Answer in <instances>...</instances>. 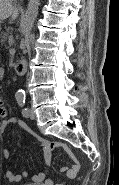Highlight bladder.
Returning <instances> with one entry per match:
<instances>
[{
    "label": "bladder",
    "mask_w": 119,
    "mask_h": 185,
    "mask_svg": "<svg viewBox=\"0 0 119 185\" xmlns=\"http://www.w3.org/2000/svg\"><path fill=\"white\" fill-rule=\"evenodd\" d=\"M22 185H40V184H37V183H27V184H22Z\"/></svg>",
    "instance_id": "obj_1"
}]
</instances>
